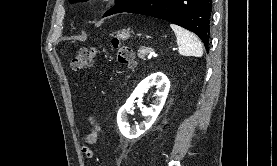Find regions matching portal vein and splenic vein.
<instances>
[{
  "mask_svg": "<svg viewBox=\"0 0 277 166\" xmlns=\"http://www.w3.org/2000/svg\"><path fill=\"white\" fill-rule=\"evenodd\" d=\"M152 56H153V53L150 51L149 55H148V58H152Z\"/></svg>",
  "mask_w": 277,
  "mask_h": 166,
  "instance_id": "portal-vein-and-splenic-vein-1",
  "label": "portal vein and splenic vein"
}]
</instances>
